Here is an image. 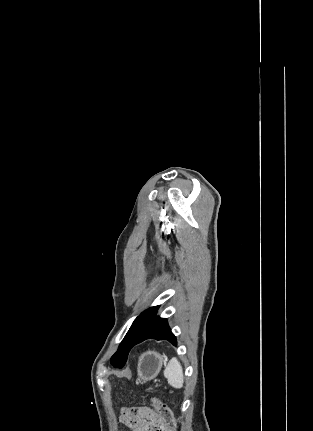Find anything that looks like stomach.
Segmentation results:
<instances>
[{
  "mask_svg": "<svg viewBox=\"0 0 313 431\" xmlns=\"http://www.w3.org/2000/svg\"><path fill=\"white\" fill-rule=\"evenodd\" d=\"M163 356L154 351L142 354L138 361V381L148 382L155 378L161 370Z\"/></svg>",
  "mask_w": 313,
  "mask_h": 431,
  "instance_id": "0dacf381",
  "label": "stomach"
}]
</instances>
